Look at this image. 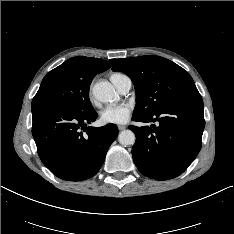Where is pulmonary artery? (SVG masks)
I'll use <instances>...</instances> for the list:
<instances>
[{"label": "pulmonary artery", "instance_id": "obj_1", "mask_svg": "<svg viewBox=\"0 0 234 234\" xmlns=\"http://www.w3.org/2000/svg\"><path fill=\"white\" fill-rule=\"evenodd\" d=\"M118 89L122 94L128 93L131 89V80L129 78L124 79Z\"/></svg>", "mask_w": 234, "mask_h": 234}]
</instances>
